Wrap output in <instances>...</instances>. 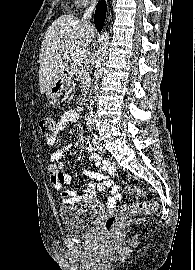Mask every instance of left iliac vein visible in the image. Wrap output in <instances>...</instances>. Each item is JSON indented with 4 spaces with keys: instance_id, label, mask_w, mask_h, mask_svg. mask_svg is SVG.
<instances>
[{
    "instance_id": "obj_1",
    "label": "left iliac vein",
    "mask_w": 195,
    "mask_h": 270,
    "mask_svg": "<svg viewBox=\"0 0 195 270\" xmlns=\"http://www.w3.org/2000/svg\"><path fill=\"white\" fill-rule=\"evenodd\" d=\"M93 144H94V147L98 150L99 153H103L105 151V149L100 144V142L98 140V136H97L96 133L93 134Z\"/></svg>"
}]
</instances>
